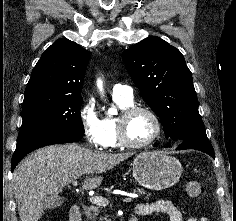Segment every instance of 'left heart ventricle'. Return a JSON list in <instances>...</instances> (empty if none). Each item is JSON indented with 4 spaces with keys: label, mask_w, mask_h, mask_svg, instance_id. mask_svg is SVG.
Segmentation results:
<instances>
[{
    "label": "left heart ventricle",
    "mask_w": 236,
    "mask_h": 221,
    "mask_svg": "<svg viewBox=\"0 0 236 221\" xmlns=\"http://www.w3.org/2000/svg\"><path fill=\"white\" fill-rule=\"evenodd\" d=\"M155 133L153 119L144 112L136 113L128 122L127 135L135 143L148 141Z\"/></svg>",
    "instance_id": "1"
}]
</instances>
